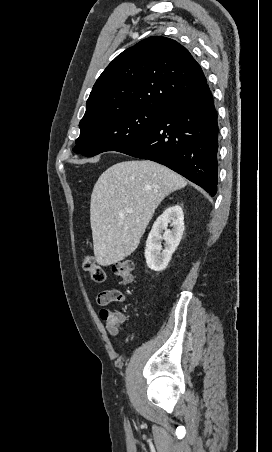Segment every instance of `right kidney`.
<instances>
[{
	"label": "right kidney",
	"mask_w": 272,
	"mask_h": 452,
	"mask_svg": "<svg viewBox=\"0 0 272 452\" xmlns=\"http://www.w3.org/2000/svg\"><path fill=\"white\" fill-rule=\"evenodd\" d=\"M170 222L173 225L172 230L167 228ZM183 232L184 214L179 205L169 207L157 218L148 235L145 248L146 263L151 270L160 272L167 267L181 241ZM161 240H165L163 250Z\"/></svg>",
	"instance_id": "ca27d5eb"
}]
</instances>
